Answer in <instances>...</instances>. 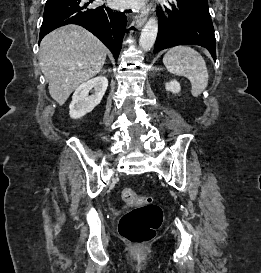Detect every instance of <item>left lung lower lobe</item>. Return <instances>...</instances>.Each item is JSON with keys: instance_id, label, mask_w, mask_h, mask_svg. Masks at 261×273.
<instances>
[{"instance_id": "left-lung-lower-lobe-1", "label": "left lung lower lobe", "mask_w": 261, "mask_h": 273, "mask_svg": "<svg viewBox=\"0 0 261 273\" xmlns=\"http://www.w3.org/2000/svg\"><path fill=\"white\" fill-rule=\"evenodd\" d=\"M171 8L158 11L154 53L176 45H200L216 60L215 36L207 0H167Z\"/></svg>"}]
</instances>
